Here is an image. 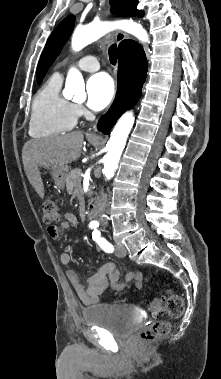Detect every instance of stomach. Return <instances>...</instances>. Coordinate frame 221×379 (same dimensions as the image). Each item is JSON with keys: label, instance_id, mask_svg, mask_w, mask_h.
<instances>
[{"label": "stomach", "instance_id": "obj_1", "mask_svg": "<svg viewBox=\"0 0 221 379\" xmlns=\"http://www.w3.org/2000/svg\"><path fill=\"white\" fill-rule=\"evenodd\" d=\"M41 168H44L46 170H50L53 180L55 182V185L59 189H63L65 185V181L68 175L69 167L67 165H56V164H51L49 162H41L39 164Z\"/></svg>", "mask_w": 221, "mask_h": 379}]
</instances>
